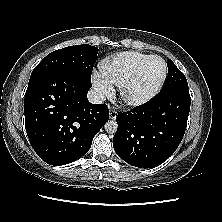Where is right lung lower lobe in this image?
Returning a JSON list of instances; mask_svg holds the SVG:
<instances>
[{"label":"right lung lower lobe","instance_id":"1","mask_svg":"<svg viewBox=\"0 0 222 222\" xmlns=\"http://www.w3.org/2000/svg\"><path fill=\"white\" fill-rule=\"evenodd\" d=\"M91 79L54 72L31 79L25 93V128L37 155L60 166L88 152L92 140L109 120L105 104L87 99Z\"/></svg>","mask_w":222,"mask_h":222}]
</instances>
